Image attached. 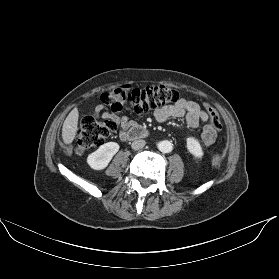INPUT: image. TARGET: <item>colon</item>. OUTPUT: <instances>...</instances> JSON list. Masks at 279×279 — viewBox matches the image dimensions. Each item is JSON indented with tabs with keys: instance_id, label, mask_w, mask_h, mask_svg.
<instances>
[{
	"instance_id": "obj_1",
	"label": "colon",
	"mask_w": 279,
	"mask_h": 279,
	"mask_svg": "<svg viewBox=\"0 0 279 279\" xmlns=\"http://www.w3.org/2000/svg\"><path fill=\"white\" fill-rule=\"evenodd\" d=\"M179 92L173 88L157 85L145 88L120 86L101 96L102 103L107 106V116L89 115L82 119L77 135L75 151L84 155L87 151L98 147L116 130L117 115L129 108L137 115L145 114L155 108L175 103L179 100ZM210 114L212 128L218 132L221 122L217 111L205 105Z\"/></svg>"
}]
</instances>
